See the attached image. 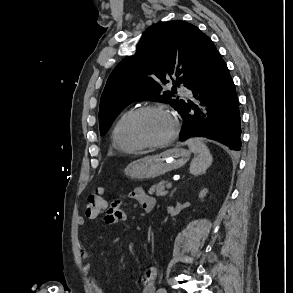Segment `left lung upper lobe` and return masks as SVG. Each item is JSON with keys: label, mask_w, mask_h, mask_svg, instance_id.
Masks as SVG:
<instances>
[{"label": "left lung upper lobe", "mask_w": 293, "mask_h": 293, "mask_svg": "<svg viewBox=\"0 0 293 293\" xmlns=\"http://www.w3.org/2000/svg\"><path fill=\"white\" fill-rule=\"evenodd\" d=\"M210 41L196 26L181 20L151 26L136 53L123 59L107 80L100 101V134L135 101L165 102L178 111L182 99L176 96L177 86L190 88L199 81ZM170 80L173 88L165 91L162 85Z\"/></svg>", "instance_id": "obj_1"}]
</instances>
